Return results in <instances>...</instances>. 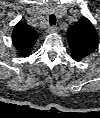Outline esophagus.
<instances>
[{"mask_svg":"<svg viewBox=\"0 0 100 118\" xmlns=\"http://www.w3.org/2000/svg\"><path fill=\"white\" fill-rule=\"evenodd\" d=\"M46 32L47 33H57L58 28L56 26H52V27L47 28Z\"/></svg>","mask_w":100,"mask_h":118,"instance_id":"obj_1","label":"esophagus"}]
</instances>
